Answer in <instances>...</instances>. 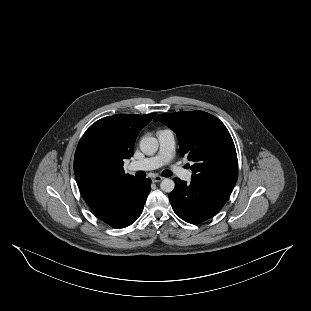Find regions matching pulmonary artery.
<instances>
[{
	"label": "pulmonary artery",
	"mask_w": 311,
	"mask_h": 311,
	"mask_svg": "<svg viewBox=\"0 0 311 311\" xmlns=\"http://www.w3.org/2000/svg\"><path fill=\"white\" fill-rule=\"evenodd\" d=\"M159 151L158 153L149 158H144L139 161H135L129 164L128 169L130 171H152L156 170L164 165L170 163L171 159L175 155L176 141L174 133L169 130H159L157 132ZM180 178L185 181H190L192 177L191 170H182L180 168H174Z\"/></svg>",
	"instance_id": "pulmonary-artery-1"
}]
</instances>
